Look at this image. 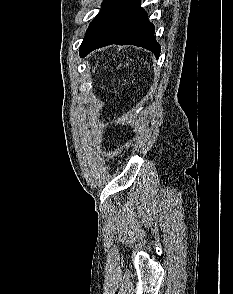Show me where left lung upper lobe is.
<instances>
[{
	"mask_svg": "<svg viewBox=\"0 0 233 294\" xmlns=\"http://www.w3.org/2000/svg\"><path fill=\"white\" fill-rule=\"evenodd\" d=\"M112 2V0H104L103 4H102V10L101 12L94 18V20L91 22V24L89 25V28L86 31V35L85 38L83 40V42L86 40V38L88 37V35L90 34L92 28L94 27V25L96 24V22L99 20V18L101 17V15L103 14V12L105 11V9L107 8V6ZM82 42V44H83ZM81 44V46H82ZM80 46V49H81Z\"/></svg>",
	"mask_w": 233,
	"mask_h": 294,
	"instance_id": "left-lung-upper-lobe-1",
	"label": "left lung upper lobe"
}]
</instances>
